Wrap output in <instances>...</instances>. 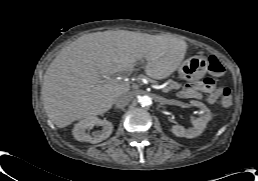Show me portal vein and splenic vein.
Listing matches in <instances>:
<instances>
[{"label":"portal vein and splenic vein","mask_w":258,"mask_h":181,"mask_svg":"<svg viewBox=\"0 0 258 181\" xmlns=\"http://www.w3.org/2000/svg\"><path fill=\"white\" fill-rule=\"evenodd\" d=\"M108 81H109V82H117L116 79H109V78H108ZM162 91L167 93L169 90H168L167 87H166V88H162Z\"/></svg>","instance_id":"obj_1"}]
</instances>
